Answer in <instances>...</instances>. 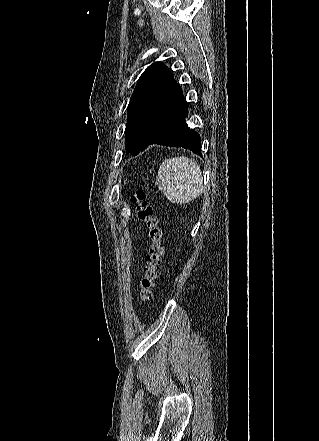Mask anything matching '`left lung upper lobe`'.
Here are the masks:
<instances>
[{
    "instance_id": "obj_1",
    "label": "left lung upper lobe",
    "mask_w": 319,
    "mask_h": 441,
    "mask_svg": "<svg viewBox=\"0 0 319 441\" xmlns=\"http://www.w3.org/2000/svg\"><path fill=\"white\" fill-rule=\"evenodd\" d=\"M184 99L168 67L161 62L150 65L140 76L127 108L126 151L133 156L144 151L155 132Z\"/></svg>"
}]
</instances>
